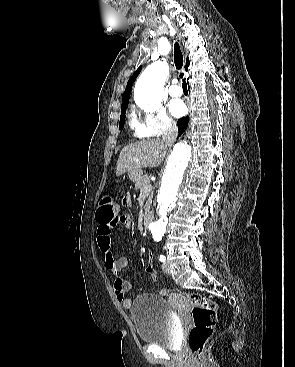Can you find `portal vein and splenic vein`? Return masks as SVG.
Here are the masks:
<instances>
[{
	"label": "portal vein and splenic vein",
	"instance_id": "obj_1",
	"mask_svg": "<svg viewBox=\"0 0 295 367\" xmlns=\"http://www.w3.org/2000/svg\"><path fill=\"white\" fill-rule=\"evenodd\" d=\"M150 190H151V186L150 185H146L145 192H149Z\"/></svg>",
	"mask_w": 295,
	"mask_h": 367
}]
</instances>
